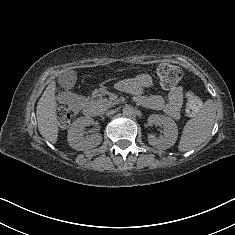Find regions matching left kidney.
<instances>
[{"label":"left kidney","mask_w":235,"mask_h":235,"mask_svg":"<svg viewBox=\"0 0 235 235\" xmlns=\"http://www.w3.org/2000/svg\"><path fill=\"white\" fill-rule=\"evenodd\" d=\"M148 126H162L163 135L157 137L154 133L148 134V143L158 149L172 147L178 137V128L175 121L164 115L151 114L147 119Z\"/></svg>","instance_id":"obj_1"}]
</instances>
